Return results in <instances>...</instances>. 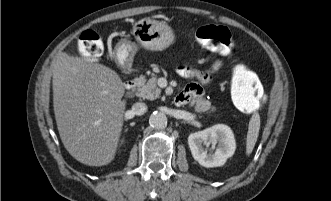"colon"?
<instances>
[{"label": "colon", "mask_w": 331, "mask_h": 201, "mask_svg": "<svg viewBox=\"0 0 331 201\" xmlns=\"http://www.w3.org/2000/svg\"><path fill=\"white\" fill-rule=\"evenodd\" d=\"M190 34L208 49L228 55L233 48L229 29L220 25H203ZM79 51L89 60H97L103 53V43L93 30L84 31L79 38ZM232 99L238 109L245 113L256 112L265 102L261 81L244 65H237L232 73Z\"/></svg>", "instance_id": "5ec220e1"}]
</instances>
